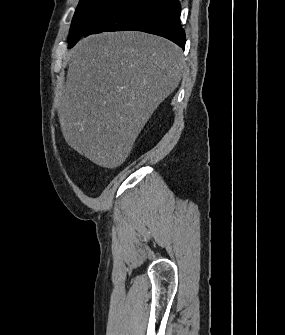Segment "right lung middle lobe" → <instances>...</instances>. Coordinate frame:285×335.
Instances as JSON below:
<instances>
[{
  "mask_svg": "<svg viewBox=\"0 0 285 335\" xmlns=\"http://www.w3.org/2000/svg\"><path fill=\"white\" fill-rule=\"evenodd\" d=\"M119 0H80L72 19L69 45L75 44L93 22L112 8Z\"/></svg>",
  "mask_w": 285,
  "mask_h": 335,
  "instance_id": "obj_1",
  "label": "right lung middle lobe"
}]
</instances>
